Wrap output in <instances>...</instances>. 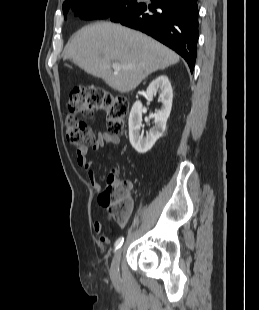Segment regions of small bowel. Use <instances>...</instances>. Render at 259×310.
Segmentation results:
<instances>
[{
  "label": "small bowel",
  "mask_w": 259,
  "mask_h": 310,
  "mask_svg": "<svg viewBox=\"0 0 259 310\" xmlns=\"http://www.w3.org/2000/svg\"><path fill=\"white\" fill-rule=\"evenodd\" d=\"M119 141L120 139L116 135H112V134L105 133V132H99L93 144V149L98 150L104 147L106 144L117 145ZM87 153H88L87 147H78L76 149V161H77V164L86 171L88 180L93 190L96 193H99L101 191V185L99 184L96 173L93 170V162L87 158ZM127 185L129 189L131 190L132 185L130 183H127ZM128 220L129 218L128 216H126L123 220L120 221V225L125 226ZM93 230L95 233L101 234L103 230L102 224L100 222H95L93 224ZM107 240L108 238L106 236H101L102 242H107Z\"/></svg>",
  "instance_id": "c3829d8e"
}]
</instances>
